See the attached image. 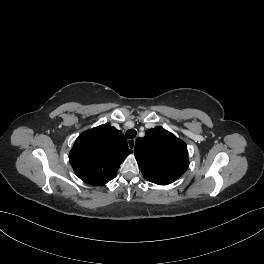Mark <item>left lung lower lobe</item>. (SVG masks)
<instances>
[{
	"label": "left lung lower lobe",
	"instance_id": "left-lung-lower-lobe-1",
	"mask_svg": "<svg viewBox=\"0 0 264 264\" xmlns=\"http://www.w3.org/2000/svg\"><path fill=\"white\" fill-rule=\"evenodd\" d=\"M153 183L159 184V185H166L169 184V182H161V181H151Z\"/></svg>",
	"mask_w": 264,
	"mask_h": 264
}]
</instances>
